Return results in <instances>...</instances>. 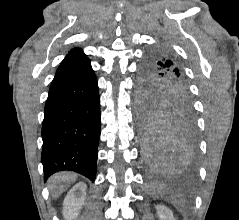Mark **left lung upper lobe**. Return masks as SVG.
Listing matches in <instances>:
<instances>
[{
    "label": "left lung upper lobe",
    "instance_id": "left-lung-upper-lobe-1",
    "mask_svg": "<svg viewBox=\"0 0 239 220\" xmlns=\"http://www.w3.org/2000/svg\"><path fill=\"white\" fill-rule=\"evenodd\" d=\"M145 115L143 124H153L166 112H192L181 61L166 47L151 51L143 65Z\"/></svg>",
    "mask_w": 239,
    "mask_h": 220
}]
</instances>
